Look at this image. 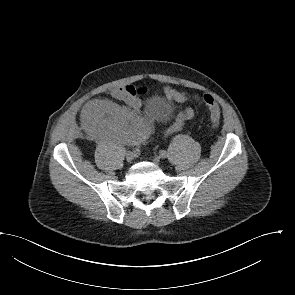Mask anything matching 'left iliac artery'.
Here are the masks:
<instances>
[{
	"mask_svg": "<svg viewBox=\"0 0 295 295\" xmlns=\"http://www.w3.org/2000/svg\"><path fill=\"white\" fill-rule=\"evenodd\" d=\"M159 154L162 158H165L167 156V152L165 150H160Z\"/></svg>",
	"mask_w": 295,
	"mask_h": 295,
	"instance_id": "obj_1",
	"label": "left iliac artery"
}]
</instances>
